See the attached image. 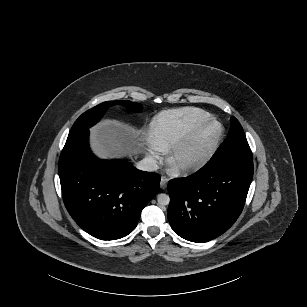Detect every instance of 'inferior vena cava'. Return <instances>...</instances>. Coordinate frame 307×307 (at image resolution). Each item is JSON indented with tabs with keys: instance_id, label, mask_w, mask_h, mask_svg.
I'll list each match as a JSON object with an SVG mask.
<instances>
[{
	"instance_id": "1",
	"label": "inferior vena cava",
	"mask_w": 307,
	"mask_h": 307,
	"mask_svg": "<svg viewBox=\"0 0 307 307\" xmlns=\"http://www.w3.org/2000/svg\"><path fill=\"white\" fill-rule=\"evenodd\" d=\"M136 167L139 170L148 172L156 171L159 168L157 160H155L153 157L143 158L136 164Z\"/></svg>"
}]
</instances>
